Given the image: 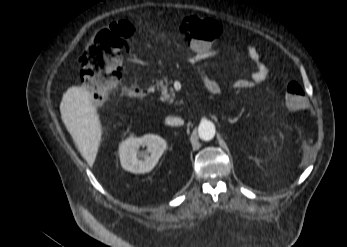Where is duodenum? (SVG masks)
Returning a JSON list of instances; mask_svg holds the SVG:
<instances>
[{
	"label": "duodenum",
	"instance_id": "obj_1",
	"mask_svg": "<svg viewBox=\"0 0 347 247\" xmlns=\"http://www.w3.org/2000/svg\"><path fill=\"white\" fill-rule=\"evenodd\" d=\"M150 93V89L139 85H134L129 91L128 96L133 98H144Z\"/></svg>",
	"mask_w": 347,
	"mask_h": 247
}]
</instances>
